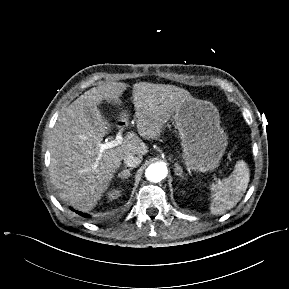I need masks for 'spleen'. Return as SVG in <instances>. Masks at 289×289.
<instances>
[{
	"mask_svg": "<svg viewBox=\"0 0 289 289\" xmlns=\"http://www.w3.org/2000/svg\"><path fill=\"white\" fill-rule=\"evenodd\" d=\"M250 180L249 168L245 161L236 163L234 171L220 183L210 185V210L213 214H223L233 208L246 192Z\"/></svg>",
	"mask_w": 289,
	"mask_h": 289,
	"instance_id": "spleen-1",
	"label": "spleen"
}]
</instances>
